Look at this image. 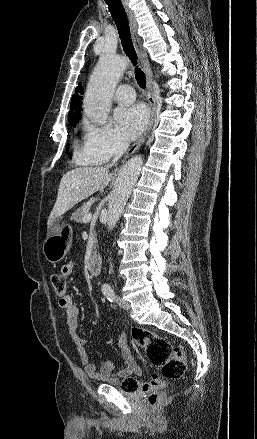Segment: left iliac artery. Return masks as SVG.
Masks as SVG:
<instances>
[{
  "label": "left iliac artery",
  "instance_id": "left-iliac-artery-1",
  "mask_svg": "<svg viewBox=\"0 0 257 439\" xmlns=\"http://www.w3.org/2000/svg\"><path fill=\"white\" fill-rule=\"evenodd\" d=\"M102 292L110 302L115 300V293L109 284L106 283L102 286Z\"/></svg>",
  "mask_w": 257,
  "mask_h": 439
}]
</instances>
